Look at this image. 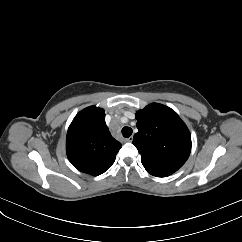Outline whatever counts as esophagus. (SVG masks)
I'll use <instances>...</instances> for the list:
<instances>
[{
  "label": "esophagus",
  "mask_w": 242,
  "mask_h": 242,
  "mask_svg": "<svg viewBox=\"0 0 242 242\" xmlns=\"http://www.w3.org/2000/svg\"><path fill=\"white\" fill-rule=\"evenodd\" d=\"M132 140H133L132 136H130L129 138L125 139L126 142H132Z\"/></svg>",
  "instance_id": "34e87169"
}]
</instances>
